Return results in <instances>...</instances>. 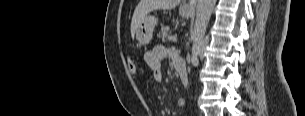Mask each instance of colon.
<instances>
[{"mask_svg":"<svg viewBox=\"0 0 305 116\" xmlns=\"http://www.w3.org/2000/svg\"><path fill=\"white\" fill-rule=\"evenodd\" d=\"M128 68H129V71H130L132 74H136V73H137L136 64L134 63V61H133L132 59H129V60H128Z\"/></svg>","mask_w":305,"mask_h":116,"instance_id":"5ec220e1","label":"colon"}]
</instances>
